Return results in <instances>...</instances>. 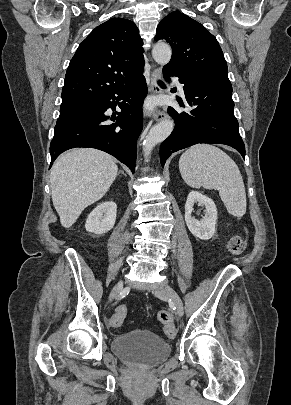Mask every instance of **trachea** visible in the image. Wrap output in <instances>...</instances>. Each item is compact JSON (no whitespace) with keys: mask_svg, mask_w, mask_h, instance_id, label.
<instances>
[{"mask_svg":"<svg viewBox=\"0 0 291 405\" xmlns=\"http://www.w3.org/2000/svg\"><path fill=\"white\" fill-rule=\"evenodd\" d=\"M159 85H164V83L162 81H158Z\"/></svg>","mask_w":291,"mask_h":405,"instance_id":"1","label":"trachea"}]
</instances>
